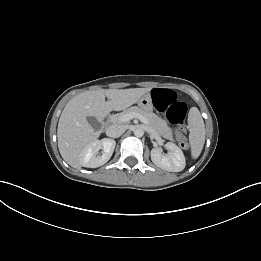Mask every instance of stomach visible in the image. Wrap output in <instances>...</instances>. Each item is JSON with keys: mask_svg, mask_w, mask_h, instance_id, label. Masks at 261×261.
Instances as JSON below:
<instances>
[{"mask_svg": "<svg viewBox=\"0 0 261 261\" xmlns=\"http://www.w3.org/2000/svg\"><path fill=\"white\" fill-rule=\"evenodd\" d=\"M137 103L138 106L144 111H152L153 109V102L149 93L143 95Z\"/></svg>", "mask_w": 261, "mask_h": 261, "instance_id": "0dacf381", "label": "stomach"}]
</instances>
